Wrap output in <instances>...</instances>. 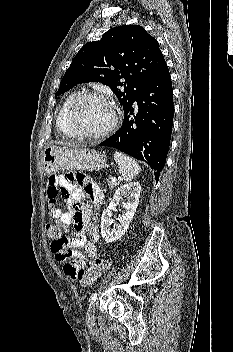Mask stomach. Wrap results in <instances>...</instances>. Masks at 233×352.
Here are the masks:
<instances>
[{"label":"stomach","mask_w":233,"mask_h":352,"mask_svg":"<svg viewBox=\"0 0 233 352\" xmlns=\"http://www.w3.org/2000/svg\"><path fill=\"white\" fill-rule=\"evenodd\" d=\"M43 172L54 174L60 170H100L106 165V156L88 148L47 147L43 151Z\"/></svg>","instance_id":"stomach-1"}]
</instances>
